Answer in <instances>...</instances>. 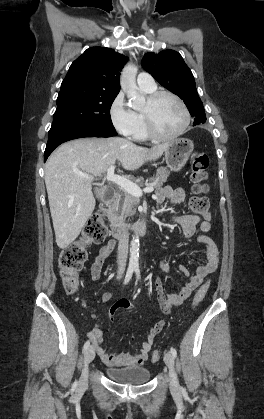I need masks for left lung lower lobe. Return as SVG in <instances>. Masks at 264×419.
<instances>
[{"label": "left lung lower lobe", "instance_id": "0a47b994", "mask_svg": "<svg viewBox=\"0 0 264 419\" xmlns=\"http://www.w3.org/2000/svg\"><path fill=\"white\" fill-rule=\"evenodd\" d=\"M205 121H206V118L202 116H198V117H195L193 125L196 126V125L204 123Z\"/></svg>", "mask_w": 264, "mask_h": 419}]
</instances>
